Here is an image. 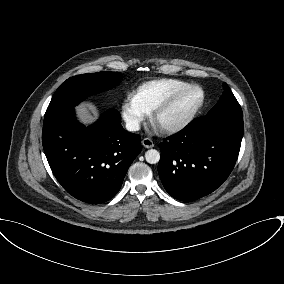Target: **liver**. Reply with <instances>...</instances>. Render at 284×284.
I'll return each instance as SVG.
<instances>
[{
  "label": "liver",
  "mask_w": 284,
  "mask_h": 284,
  "mask_svg": "<svg viewBox=\"0 0 284 284\" xmlns=\"http://www.w3.org/2000/svg\"><path fill=\"white\" fill-rule=\"evenodd\" d=\"M77 110L85 122L90 121L91 120L90 114L95 112V108L89 104L81 105L77 108Z\"/></svg>",
  "instance_id": "liver-1"
}]
</instances>
